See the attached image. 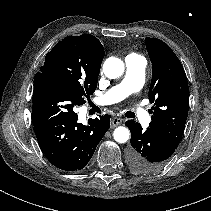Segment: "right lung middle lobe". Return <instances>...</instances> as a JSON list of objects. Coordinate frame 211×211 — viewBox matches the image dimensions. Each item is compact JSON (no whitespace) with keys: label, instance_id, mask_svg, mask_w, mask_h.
I'll return each instance as SVG.
<instances>
[{"label":"right lung middle lobe","instance_id":"right-lung-middle-lobe-1","mask_svg":"<svg viewBox=\"0 0 211 211\" xmlns=\"http://www.w3.org/2000/svg\"><path fill=\"white\" fill-rule=\"evenodd\" d=\"M99 71L92 55L68 36L46 55L44 65L35 76L68 86L84 98L96 90Z\"/></svg>","mask_w":211,"mask_h":211}]
</instances>
